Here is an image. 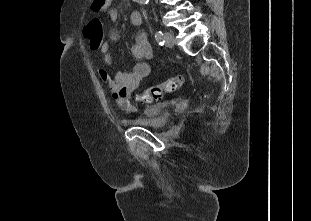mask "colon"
Masks as SVG:
<instances>
[{"mask_svg": "<svg viewBox=\"0 0 311 221\" xmlns=\"http://www.w3.org/2000/svg\"><path fill=\"white\" fill-rule=\"evenodd\" d=\"M87 32L91 48L94 50L99 49L104 35L103 24L101 20L98 18L91 19L87 24ZM185 82V75L172 76L164 82L150 86L136 94L134 100L149 105L154 101L162 99L165 94L175 92L180 87H182Z\"/></svg>", "mask_w": 311, "mask_h": 221, "instance_id": "colon-1", "label": "colon"}]
</instances>
